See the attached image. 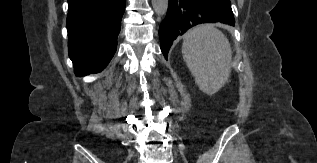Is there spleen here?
Instances as JSON below:
<instances>
[{"mask_svg": "<svg viewBox=\"0 0 317 163\" xmlns=\"http://www.w3.org/2000/svg\"><path fill=\"white\" fill-rule=\"evenodd\" d=\"M182 55L199 89L208 95L215 94L231 73L229 41L211 24L194 27L185 34Z\"/></svg>", "mask_w": 317, "mask_h": 163, "instance_id": "obj_1", "label": "spleen"}]
</instances>
